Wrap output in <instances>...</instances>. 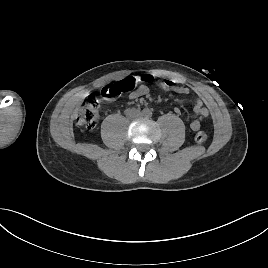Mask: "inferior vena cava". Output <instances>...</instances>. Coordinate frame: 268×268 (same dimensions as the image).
<instances>
[{
  "label": "inferior vena cava",
  "instance_id": "obj_1",
  "mask_svg": "<svg viewBox=\"0 0 268 268\" xmlns=\"http://www.w3.org/2000/svg\"><path fill=\"white\" fill-rule=\"evenodd\" d=\"M127 115L130 117V118H137V117H139V115H140V113H139V111L138 110H129L128 112H127Z\"/></svg>",
  "mask_w": 268,
  "mask_h": 268
}]
</instances>
